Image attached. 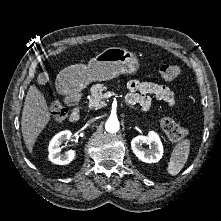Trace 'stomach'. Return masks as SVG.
Instances as JSON below:
<instances>
[{"instance_id": "stomach-1", "label": "stomach", "mask_w": 221, "mask_h": 221, "mask_svg": "<svg viewBox=\"0 0 221 221\" xmlns=\"http://www.w3.org/2000/svg\"><path fill=\"white\" fill-rule=\"evenodd\" d=\"M138 68L139 61L132 52L110 47L92 58L88 65L66 67L58 75V81L69 92H77L93 81H106L121 74H132Z\"/></svg>"}]
</instances>
